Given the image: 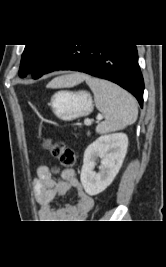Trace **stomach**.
Returning <instances> with one entry per match:
<instances>
[{"label": "stomach", "instance_id": "obj_1", "mask_svg": "<svg viewBox=\"0 0 166 267\" xmlns=\"http://www.w3.org/2000/svg\"><path fill=\"white\" fill-rule=\"evenodd\" d=\"M55 115L65 121L87 116L93 111V101L86 91L61 90L51 97Z\"/></svg>", "mask_w": 166, "mask_h": 267}]
</instances>
